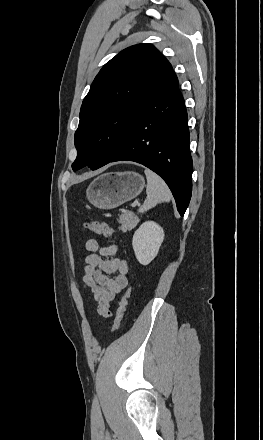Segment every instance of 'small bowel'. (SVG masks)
<instances>
[{"instance_id":"1","label":"small bowel","mask_w":263,"mask_h":440,"mask_svg":"<svg viewBox=\"0 0 263 440\" xmlns=\"http://www.w3.org/2000/svg\"><path fill=\"white\" fill-rule=\"evenodd\" d=\"M86 249L90 254L85 258L82 282L90 290L91 299L97 304L100 316L112 315L111 304L117 294L128 284V265L117 254V246H101L97 240L89 239ZM114 274L113 277L109 275Z\"/></svg>"}]
</instances>
